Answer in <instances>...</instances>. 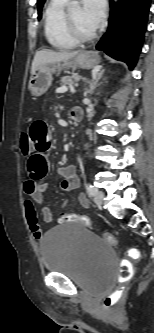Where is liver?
Listing matches in <instances>:
<instances>
[{
    "label": "liver",
    "mask_w": 154,
    "mask_h": 333,
    "mask_svg": "<svg viewBox=\"0 0 154 333\" xmlns=\"http://www.w3.org/2000/svg\"><path fill=\"white\" fill-rule=\"evenodd\" d=\"M79 52L78 51H51V50H40L36 52L32 67H31V74L36 70L37 67L41 65L47 64H55L59 62H64L72 59L75 57Z\"/></svg>",
    "instance_id": "obj_1"
}]
</instances>
